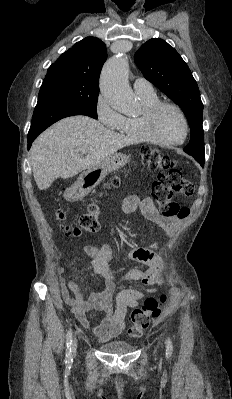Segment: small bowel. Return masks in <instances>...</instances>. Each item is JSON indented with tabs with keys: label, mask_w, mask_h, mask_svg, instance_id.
I'll return each mask as SVG.
<instances>
[{
	"label": "small bowel",
	"mask_w": 232,
	"mask_h": 399,
	"mask_svg": "<svg viewBox=\"0 0 232 399\" xmlns=\"http://www.w3.org/2000/svg\"><path fill=\"white\" fill-rule=\"evenodd\" d=\"M123 208L125 211L140 208L145 215L149 216H155L157 213L154 200L142 199L138 194L128 195L123 201ZM87 252L94 261L96 273L102 279V289L90 297L84 298L78 284L63 276L62 268L56 270L57 284L62 301L68 305L70 314L75 317L80 328L84 330L89 328L87 311L95 310L102 314L99 323L93 328V332L97 343L103 344L111 341L125 328L130 307H137L143 298L155 295L164 285L163 266L151 251L129 245L108 242L100 249L87 246ZM115 254L124 259L146 263L152 267L153 272L147 274L133 269L124 275H117L108 265L109 259ZM146 283L152 285L145 289L124 290L115 294L118 285ZM114 298L118 305L115 315L111 313Z\"/></svg>",
	"instance_id": "small-bowel-1"
}]
</instances>
